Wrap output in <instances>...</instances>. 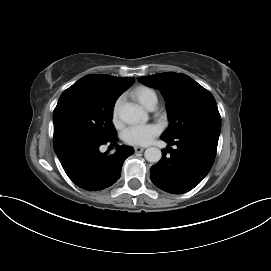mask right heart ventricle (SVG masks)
<instances>
[{
    "label": "right heart ventricle",
    "instance_id": "right-heart-ventricle-1",
    "mask_svg": "<svg viewBox=\"0 0 271 271\" xmlns=\"http://www.w3.org/2000/svg\"><path fill=\"white\" fill-rule=\"evenodd\" d=\"M136 99L146 108L157 103V95L154 90L148 87H138L133 92Z\"/></svg>",
    "mask_w": 271,
    "mask_h": 271
}]
</instances>
